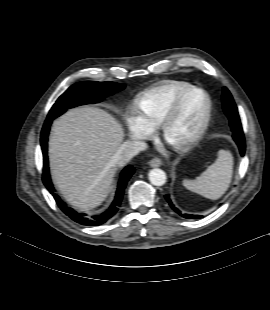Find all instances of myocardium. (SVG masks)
<instances>
[{
    "label": "myocardium",
    "mask_w": 270,
    "mask_h": 310,
    "mask_svg": "<svg viewBox=\"0 0 270 310\" xmlns=\"http://www.w3.org/2000/svg\"><path fill=\"white\" fill-rule=\"evenodd\" d=\"M193 94L201 95L205 101L203 114L197 128L192 133L184 137H181L172 142H168L167 136L172 122L179 113L184 102L188 99L189 96ZM211 113H212V100L210 95L202 88L190 87L181 94H179L168 108L167 112L165 113L163 119L159 124L160 136L162 140L167 142L174 150L178 152H185L191 149L202 139V137L207 131L211 119Z\"/></svg>",
    "instance_id": "myocardium-1"
}]
</instances>
